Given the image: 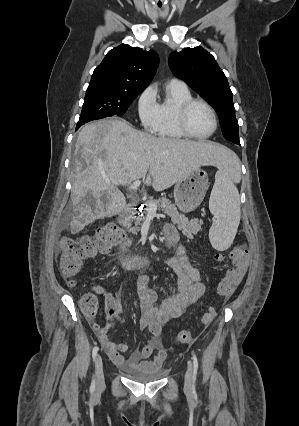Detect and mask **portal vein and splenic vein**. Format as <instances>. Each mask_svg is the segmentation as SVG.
<instances>
[{
  "instance_id": "obj_1",
  "label": "portal vein and splenic vein",
  "mask_w": 299,
  "mask_h": 426,
  "mask_svg": "<svg viewBox=\"0 0 299 426\" xmlns=\"http://www.w3.org/2000/svg\"><path fill=\"white\" fill-rule=\"evenodd\" d=\"M141 185V181L140 180H135L132 185L131 188L136 189L137 187H139ZM150 214L155 215L156 211H157V205L156 204H150L149 205V209H148Z\"/></svg>"
}]
</instances>
